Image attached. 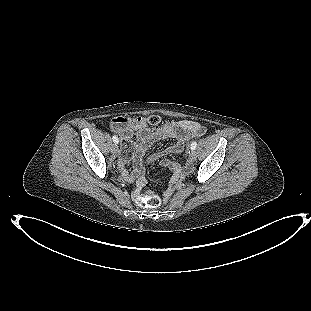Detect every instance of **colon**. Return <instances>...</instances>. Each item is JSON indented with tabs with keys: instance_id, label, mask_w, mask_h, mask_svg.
<instances>
[{
	"instance_id": "colon-1",
	"label": "colon",
	"mask_w": 311,
	"mask_h": 311,
	"mask_svg": "<svg viewBox=\"0 0 311 311\" xmlns=\"http://www.w3.org/2000/svg\"><path fill=\"white\" fill-rule=\"evenodd\" d=\"M143 121L145 124L155 126L160 123V117L157 115H151L143 119ZM137 203L142 207L156 208L160 206V204L162 203V200L157 194L153 192H148L144 195L138 196Z\"/></svg>"
}]
</instances>
